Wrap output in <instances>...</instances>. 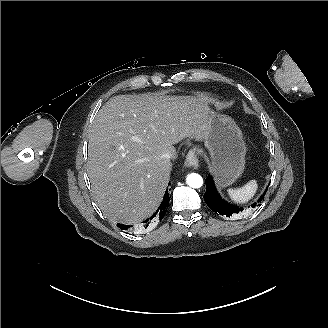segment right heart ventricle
<instances>
[{
    "mask_svg": "<svg viewBox=\"0 0 328 328\" xmlns=\"http://www.w3.org/2000/svg\"><path fill=\"white\" fill-rule=\"evenodd\" d=\"M198 105L202 108V106L200 104H198Z\"/></svg>",
    "mask_w": 328,
    "mask_h": 328,
    "instance_id": "e07e8e85",
    "label": "right heart ventricle"
}]
</instances>
